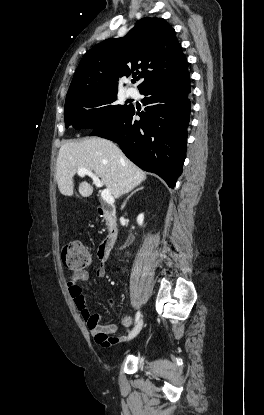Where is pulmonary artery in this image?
<instances>
[{
	"label": "pulmonary artery",
	"mask_w": 264,
	"mask_h": 415,
	"mask_svg": "<svg viewBox=\"0 0 264 415\" xmlns=\"http://www.w3.org/2000/svg\"><path fill=\"white\" fill-rule=\"evenodd\" d=\"M127 93L129 96H134L136 94V90L133 88H128Z\"/></svg>",
	"instance_id": "pulmonary-artery-1"
}]
</instances>
